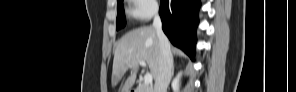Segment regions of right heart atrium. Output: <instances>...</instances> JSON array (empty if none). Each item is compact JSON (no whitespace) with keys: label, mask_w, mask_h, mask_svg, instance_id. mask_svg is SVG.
<instances>
[{"label":"right heart atrium","mask_w":296,"mask_h":92,"mask_svg":"<svg viewBox=\"0 0 296 92\" xmlns=\"http://www.w3.org/2000/svg\"><path fill=\"white\" fill-rule=\"evenodd\" d=\"M158 10V4L154 0H133L129 3L128 16L138 22H146L152 18Z\"/></svg>","instance_id":"right-heart-atrium-1"}]
</instances>
